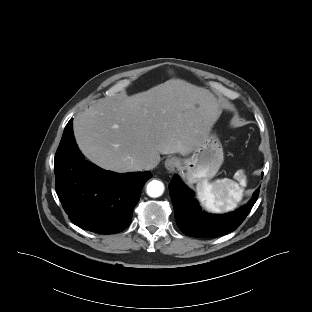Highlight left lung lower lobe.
Segmentation results:
<instances>
[{
    "instance_id": "0a47b994",
    "label": "left lung lower lobe",
    "mask_w": 312,
    "mask_h": 312,
    "mask_svg": "<svg viewBox=\"0 0 312 312\" xmlns=\"http://www.w3.org/2000/svg\"><path fill=\"white\" fill-rule=\"evenodd\" d=\"M259 189H256L253 198L244 207L224 215H214L202 211L193 192L177 175L169 185L177 226L184 234L198 238H216L234 231L251 211Z\"/></svg>"
}]
</instances>
